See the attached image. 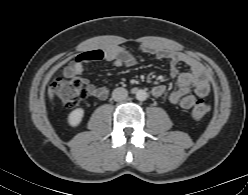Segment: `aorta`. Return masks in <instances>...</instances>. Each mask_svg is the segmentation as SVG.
I'll use <instances>...</instances> for the list:
<instances>
[{
    "instance_id": "762f6f07",
    "label": "aorta",
    "mask_w": 248,
    "mask_h": 195,
    "mask_svg": "<svg viewBox=\"0 0 248 195\" xmlns=\"http://www.w3.org/2000/svg\"><path fill=\"white\" fill-rule=\"evenodd\" d=\"M148 97L147 92L145 90L139 89L136 92V99L139 101H144Z\"/></svg>"
}]
</instances>
